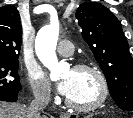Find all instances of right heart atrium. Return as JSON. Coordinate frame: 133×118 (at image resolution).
<instances>
[{"label": "right heart atrium", "mask_w": 133, "mask_h": 118, "mask_svg": "<svg viewBox=\"0 0 133 118\" xmlns=\"http://www.w3.org/2000/svg\"><path fill=\"white\" fill-rule=\"evenodd\" d=\"M29 85L35 97L39 99H48L50 97V82L41 70H34L29 73Z\"/></svg>", "instance_id": "obj_1"}]
</instances>
